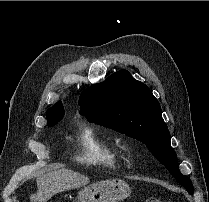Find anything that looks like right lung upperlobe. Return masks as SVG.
Listing matches in <instances>:
<instances>
[{"label": "right lung upper lobe", "mask_w": 209, "mask_h": 202, "mask_svg": "<svg viewBox=\"0 0 209 202\" xmlns=\"http://www.w3.org/2000/svg\"><path fill=\"white\" fill-rule=\"evenodd\" d=\"M61 108H63V105H62V103L59 101V102H57L53 107L49 108L48 111H47V113H49V112H51V111H55V110H57V109H61ZM63 109H64V108H63ZM53 123H54V122H53L51 119L47 118V126H50V125H52Z\"/></svg>", "instance_id": "obj_1"}]
</instances>
